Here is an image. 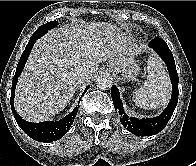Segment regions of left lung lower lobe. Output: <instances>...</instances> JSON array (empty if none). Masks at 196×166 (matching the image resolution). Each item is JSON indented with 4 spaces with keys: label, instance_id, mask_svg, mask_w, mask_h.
Returning a JSON list of instances; mask_svg holds the SVG:
<instances>
[{
    "label": "left lung lower lobe",
    "instance_id": "obj_1",
    "mask_svg": "<svg viewBox=\"0 0 196 166\" xmlns=\"http://www.w3.org/2000/svg\"><path fill=\"white\" fill-rule=\"evenodd\" d=\"M155 52L164 60L168 67L170 79L172 82V97L167 106V108L157 117L138 119L135 117H130L126 114L122 107V102L120 99V93L118 88L114 85L112 86L111 95L114 103V108L120 115V121L122 125L127 128L131 133L137 136H149L162 131L167 125L169 119L171 118L174 109L178 102V74L175 67L174 57L164 40L161 38H154L150 43Z\"/></svg>",
    "mask_w": 196,
    "mask_h": 166
}]
</instances>
